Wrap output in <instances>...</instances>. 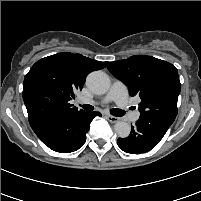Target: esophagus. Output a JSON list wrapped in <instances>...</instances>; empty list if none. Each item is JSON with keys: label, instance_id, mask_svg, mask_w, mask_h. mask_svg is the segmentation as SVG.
Wrapping results in <instances>:
<instances>
[{"label": "esophagus", "instance_id": "esophagus-1", "mask_svg": "<svg viewBox=\"0 0 201 201\" xmlns=\"http://www.w3.org/2000/svg\"><path fill=\"white\" fill-rule=\"evenodd\" d=\"M106 118L111 123H117L120 120V118L112 116V115H107Z\"/></svg>", "mask_w": 201, "mask_h": 201}]
</instances>
